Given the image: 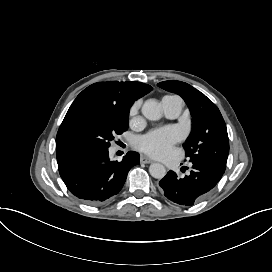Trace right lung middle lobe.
Returning <instances> with one entry per match:
<instances>
[{
    "mask_svg": "<svg viewBox=\"0 0 272 272\" xmlns=\"http://www.w3.org/2000/svg\"><path fill=\"white\" fill-rule=\"evenodd\" d=\"M129 112L85 104L65 116L56 137V151L108 149L115 135L128 129Z\"/></svg>",
    "mask_w": 272,
    "mask_h": 272,
    "instance_id": "obj_1",
    "label": "right lung middle lobe"
}]
</instances>
